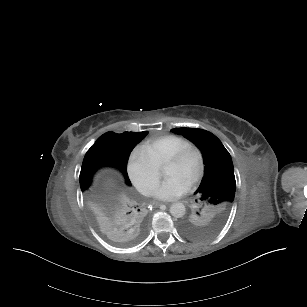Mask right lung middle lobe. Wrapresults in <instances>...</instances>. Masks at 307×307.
Returning a JSON list of instances; mask_svg holds the SVG:
<instances>
[{
  "instance_id": "right-lung-middle-lobe-1",
  "label": "right lung middle lobe",
  "mask_w": 307,
  "mask_h": 307,
  "mask_svg": "<svg viewBox=\"0 0 307 307\" xmlns=\"http://www.w3.org/2000/svg\"><path fill=\"white\" fill-rule=\"evenodd\" d=\"M108 164V159L104 153L91 147L86 153L81 172H80V187L81 190L87 188L95 171Z\"/></svg>"
}]
</instances>
